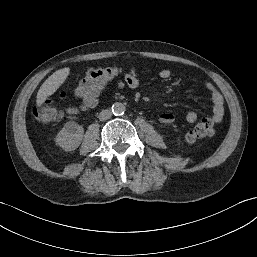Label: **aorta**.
<instances>
[{
  "mask_svg": "<svg viewBox=\"0 0 257 257\" xmlns=\"http://www.w3.org/2000/svg\"><path fill=\"white\" fill-rule=\"evenodd\" d=\"M126 108L123 103L116 102L112 105V112L114 115H123Z\"/></svg>",
  "mask_w": 257,
  "mask_h": 257,
  "instance_id": "762f6f07",
  "label": "aorta"
}]
</instances>
